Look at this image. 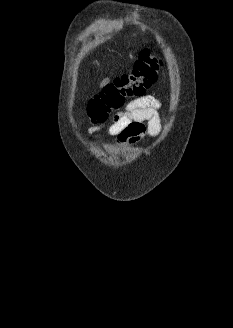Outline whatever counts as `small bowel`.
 I'll use <instances>...</instances> for the list:
<instances>
[{
	"mask_svg": "<svg viewBox=\"0 0 233 328\" xmlns=\"http://www.w3.org/2000/svg\"><path fill=\"white\" fill-rule=\"evenodd\" d=\"M163 120L159 101L151 95L142 96L129 102L114 116L108 134L115 137L118 145L133 146L146 135L156 136ZM99 129L100 126H97L91 132Z\"/></svg>",
	"mask_w": 233,
	"mask_h": 328,
	"instance_id": "small-bowel-1",
	"label": "small bowel"
}]
</instances>
